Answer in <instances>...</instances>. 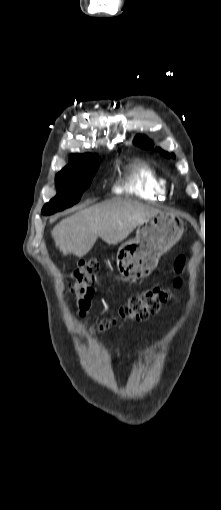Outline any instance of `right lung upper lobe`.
Listing matches in <instances>:
<instances>
[{
    "label": "right lung upper lobe",
    "instance_id": "cb5924a9",
    "mask_svg": "<svg viewBox=\"0 0 221 510\" xmlns=\"http://www.w3.org/2000/svg\"><path fill=\"white\" fill-rule=\"evenodd\" d=\"M95 158L96 157H93L92 154H85V155H82V154H71L70 155L71 165H69V166H78V165H81V164H83L84 162H86L88 160L95 159Z\"/></svg>",
    "mask_w": 221,
    "mask_h": 510
}]
</instances>
